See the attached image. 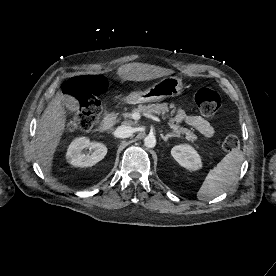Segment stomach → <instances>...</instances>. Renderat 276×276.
Returning <instances> with one entry per match:
<instances>
[{"mask_svg": "<svg viewBox=\"0 0 276 276\" xmlns=\"http://www.w3.org/2000/svg\"><path fill=\"white\" fill-rule=\"evenodd\" d=\"M183 83L178 77H165L143 91H135L125 97L128 104H143L161 101L166 98L175 97L182 93Z\"/></svg>", "mask_w": 276, "mask_h": 276, "instance_id": "stomach-1", "label": "stomach"}]
</instances>
